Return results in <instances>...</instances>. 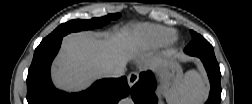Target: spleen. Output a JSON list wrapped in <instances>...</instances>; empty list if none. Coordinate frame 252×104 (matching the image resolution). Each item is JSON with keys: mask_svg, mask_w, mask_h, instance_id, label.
<instances>
[{"mask_svg": "<svg viewBox=\"0 0 252 104\" xmlns=\"http://www.w3.org/2000/svg\"><path fill=\"white\" fill-rule=\"evenodd\" d=\"M207 96V88L201 74L189 71L182 85L173 93L170 102L181 104H196Z\"/></svg>", "mask_w": 252, "mask_h": 104, "instance_id": "1", "label": "spleen"}]
</instances>
